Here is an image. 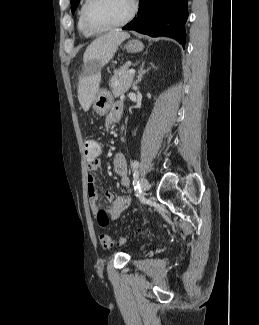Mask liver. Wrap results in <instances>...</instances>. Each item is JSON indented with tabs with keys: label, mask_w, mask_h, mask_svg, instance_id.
Returning a JSON list of instances; mask_svg holds the SVG:
<instances>
[{
	"label": "liver",
	"mask_w": 259,
	"mask_h": 325,
	"mask_svg": "<svg viewBox=\"0 0 259 325\" xmlns=\"http://www.w3.org/2000/svg\"><path fill=\"white\" fill-rule=\"evenodd\" d=\"M128 38L127 32L113 30L95 39L86 48L83 62L91 63L92 67L86 69V75L80 77L78 84V100L84 111L89 110L99 89L101 67L112 59L118 46Z\"/></svg>",
	"instance_id": "obj_1"
}]
</instances>
